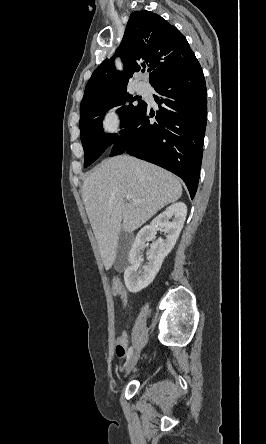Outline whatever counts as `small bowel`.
I'll return each instance as SVG.
<instances>
[{
    "label": "small bowel",
    "mask_w": 266,
    "mask_h": 444,
    "mask_svg": "<svg viewBox=\"0 0 266 444\" xmlns=\"http://www.w3.org/2000/svg\"><path fill=\"white\" fill-rule=\"evenodd\" d=\"M112 290H113V293L115 295L121 297L124 306H126L127 305V301H128L127 293H126V290H125V288L123 286V283L121 282L120 279H117V278L113 279V281H112ZM128 341H129V337H128V334L126 332H122L120 334V336L117 338V341H116V353L119 356H123L125 354V350H126V348L128 346Z\"/></svg>",
    "instance_id": "small-bowel-1"
}]
</instances>
